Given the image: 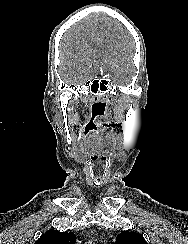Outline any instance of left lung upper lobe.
Wrapping results in <instances>:
<instances>
[{"mask_svg":"<svg viewBox=\"0 0 188 244\" xmlns=\"http://www.w3.org/2000/svg\"><path fill=\"white\" fill-rule=\"evenodd\" d=\"M112 244H147L145 239L135 232H121Z\"/></svg>","mask_w":188,"mask_h":244,"instance_id":"1","label":"left lung upper lobe"}]
</instances>
